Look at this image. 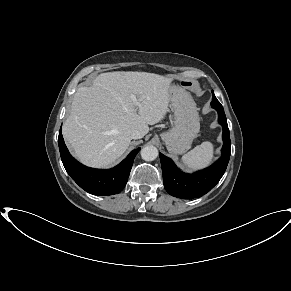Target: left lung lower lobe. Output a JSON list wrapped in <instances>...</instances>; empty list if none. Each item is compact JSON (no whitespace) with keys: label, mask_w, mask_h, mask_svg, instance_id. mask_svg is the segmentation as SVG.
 I'll return each instance as SVG.
<instances>
[{"label":"left lung lower lobe","mask_w":291,"mask_h":291,"mask_svg":"<svg viewBox=\"0 0 291 291\" xmlns=\"http://www.w3.org/2000/svg\"><path fill=\"white\" fill-rule=\"evenodd\" d=\"M211 106L218 112V120L223 127L222 156L216 163L194 174H186L181 172L170 158L162 153L159 155L164 187L174 197L192 199L205 195L219 182L227 168L231 150L227 119L218 100H212Z\"/></svg>","instance_id":"0a47b994"}]
</instances>
